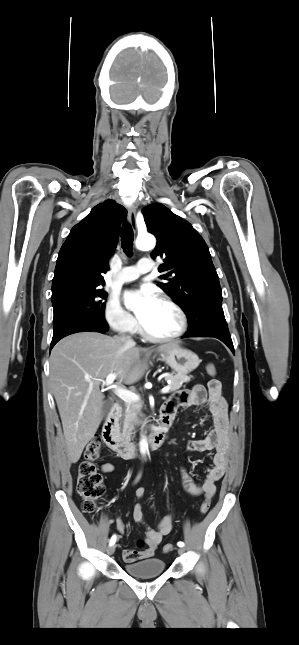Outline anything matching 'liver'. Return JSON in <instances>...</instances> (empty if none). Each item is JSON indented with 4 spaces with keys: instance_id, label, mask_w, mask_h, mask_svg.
<instances>
[{
    "instance_id": "6515ba94",
    "label": "liver",
    "mask_w": 299,
    "mask_h": 645,
    "mask_svg": "<svg viewBox=\"0 0 299 645\" xmlns=\"http://www.w3.org/2000/svg\"><path fill=\"white\" fill-rule=\"evenodd\" d=\"M178 347V343H170L156 351L164 353ZM146 351L97 332L67 336L52 349L50 383L72 463L80 459L101 423L104 395L99 390L100 381L114 373L119 383H136L148 368L140 359Z\"/></svg>"
}]
</instances>
